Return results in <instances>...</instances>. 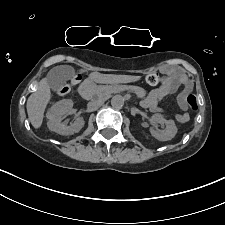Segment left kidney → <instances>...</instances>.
<instances>
[{"label": "left kidney", "mask_w": 225, "mask_h": 225, "mask_svg": "<svg viewBox=\"0 0 225 225\" xmlns=\"http://www.w3.org/2000/svg\"><path fill=\"white\" fill-rule=\"evenodd\" d=\"M150 122L155 125L157 123L164 124L166 127L163 130L151 129V134L159 141H168L175 137L178 129L173 120H166L162 114H154Z\"/></svg>", "instance_id": "obj_1"}]
</instances>
